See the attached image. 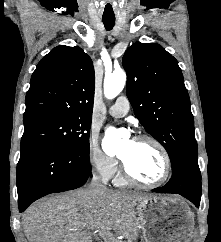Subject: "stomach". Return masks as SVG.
Here are the masks:
<instances>
[{
	"label": "stomach",
	"mask_w": 221,
	"mask_h": 242,
	"mask_svg": "<svg viewBox=\"0 0 221 242\" xmlns=\"http://www.w3.org/2000/svg\"><path fill=\"white\" fill-rule=\"evenodd\" d=\"M137 223L145 242H189L194 214L177 196H149L138 202Z\"/></svg>",
	"instance_id": "1"
}]
</instances>
